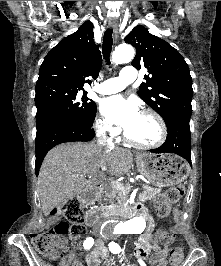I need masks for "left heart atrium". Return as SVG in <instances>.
<instances>
[{"mask_svg": "<svg viewBox=\"0 0 221 266\" xmlns=\"http://www.w3.org/2000/svg\"><path fill=\"white\" fill-rule=\"evenodd\" d=\"M101 110L109 122L118 124L126 130L137 121L141 114L135 100L125 99L120 95L105 99Z\"/></svg>", "mask_w": 221, "mask_h": 266, "instance_id": "obj_1", "label": "left heart atrium"}]
</instances>
